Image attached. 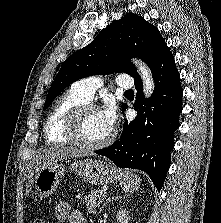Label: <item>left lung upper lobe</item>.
Returning <instances> with one entry per match:
<instances>
[{"instance_id":"obj_1","label":"left lung upper lobe","mask_w":221,"mask_h":223,"mask_svg":"<svg viewBox=\"0 0 221 223\" xmlns=\"http://www.w3.org/2000/svg\"><path fill=\"white\" fill-rule=\"evenodd\" d=\"M167 44L159 30L142 16L126 14L113 21L84 48L73 53L61 66L51 85L43 109L72 82L95 74L125 72L140 81L130 57H138L152 70ZM127 106L122 105V109Z\"/></svg>"}]
</instances>
